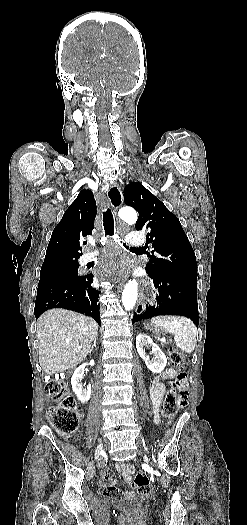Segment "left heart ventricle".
Segmentation results:
<instances>
[{"label":"left heart ventricle","mask_w":247,"mask_h":525,"mask_svg":"<svg viewBox=\"0 0 247 525\" xmlns=\"http://www.w3.org/2000/svg\"><path fill=\"white\" fill-rule=\"evenodd\" d=\"M136 266H137V264H132V263H130L129 266H128V268H127V271H130V270H132V269H135Z\"/></svg>","instance_id":"1"}]
</instances>
